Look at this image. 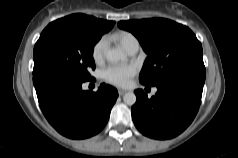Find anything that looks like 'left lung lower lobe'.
<instances>
[{
	"mask_svg": "<svg viewBox=\"0 0 238 158\" xmlns=\"http://www.w3.org/2000/svg\"><path fill=\"white\" fill-rule=\"evenodd\" d=\"M204 82L205 70L191 69L157 83V93L151 98L136 90L137 102L131 112L137 129L154 139L179 135L198 112Z\"/></svg>",
	"mask_w": 238,
	"mask_h": 158,
	"instance_id": "left-lung-lower-lobe-1",
	"label": "left lung lower lobe"
}]
</instances>
